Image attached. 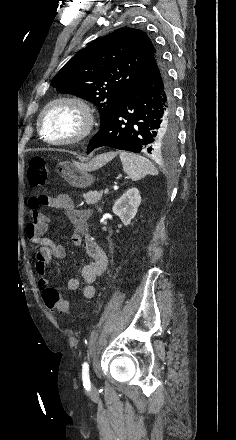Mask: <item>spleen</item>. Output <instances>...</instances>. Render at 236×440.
I'll use <instances>...</instances> for the list:
<instances>
[{
	"instance_id": "spleen-1",
	"label": "spleen",
	"mask_w": 236,
	"mask_h": 440,
	"mask_svg": "<svg viewBox=\"0 0 236 440\" xmlns=\"http://www.w3.org/2000/svg\"><path fill=\"white\" fill-rule=\"evenodd\" d=\"M123 170L132 181H138L146 175H155L157 170L153 163L141 156L130 152H119Z\"/></svg>"
}]
</instances>
